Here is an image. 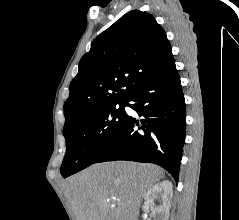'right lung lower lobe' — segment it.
<instances>
[{
	"label": "right lung lower lobe",
	"instance_id": "1",
	"mask_svg": "<svg viewBox=\"0 0 239 220\" xmlns=\"http://www.w3.org/2000/svg\"><path fill=\"white\" fill-rule=\"evenodd\" d=\"M124 103L144 119L136 121L127 115L94 163L112 160L155 163L178 182L186 113L175 60L139 86ZM134 126L138 129L134 130Z\"/></svg>",
	"mask_w": 239,
	"mask_h": 220
}]
</instances>
